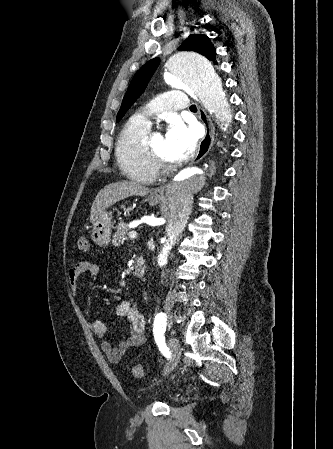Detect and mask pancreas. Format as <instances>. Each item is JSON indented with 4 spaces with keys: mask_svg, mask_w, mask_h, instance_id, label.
<instances>
[{
    "mask_svg": "<svg viewBox=\"0 0 333 449\" xmlns=\"http://www.w3.org/2000/svg\"><path fill=\"white\" fill-rule=\"evenodd\" d=\"M128 231L129 225L127 223L120 222L113 236V244L118 246L122 244L124 240H127Z\"/></svg>",
    "mask_w": 333,
    "mask_h": 449,
    "instance_id": "1",
    "label": "pancreas"
}]
</instances>
